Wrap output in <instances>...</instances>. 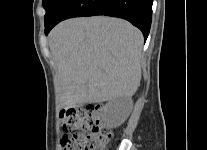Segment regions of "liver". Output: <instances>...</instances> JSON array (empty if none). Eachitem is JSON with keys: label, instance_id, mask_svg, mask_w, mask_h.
<instances>
[{"label": "liver", "instance_id": "obj_1", "mask_svg": "<svg viewBox=\"0 0 207 150\" xmlns=\"http://www.w3.org/2000/svg\"><path fill=\"white\" fill-rule=\"evenodd\" d=\"M61 107L131 97L140 85L143 36L129 22L73 18L49 34Z\"/></svg>", "mask_w": 207, "mask_h": 150}]
</instances>
